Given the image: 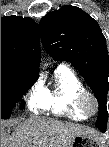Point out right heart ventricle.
Segmentation results:
<instances>
[{"mask_svg": "<svg viewBox=\"0 0 109 147\" xmlns=\"http://www.w3.org/2000/svg\"><path fill=\"white\" fill-rule=\"evenodd\" d=\"M42 97L31 100L29 107L34 112L50 111L57 116H65L74 121L88 118L77 106L79 95L85 87L76 74L66 66H59L48 86L40 85Z\"/></svg>", "mask_w": 109, "mask_h": 147, "instance_id": "obj_1", "label": "right heart ventricle"}]
</instances>
